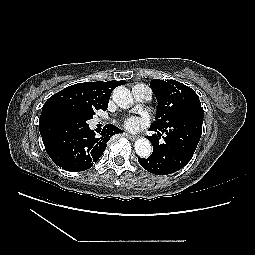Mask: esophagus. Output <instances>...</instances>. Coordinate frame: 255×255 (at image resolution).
<instances>
[{
  "label": "esophagus",
  "mask_w": 255,
  "mask_h": 255,
  "mask_svg": "<svg viewBox=\"0 0 255 255\" xmlns=\"http://www.w3.org/2000/svg\"><path fill=\"white\" fill-rule=\"evenodd\" d=\"M125 135H126L130 140H132V141H134V140L137 138L135 135L130 134V133H128V132H126Z\"/></svg>",
  "instance_id": "esophagus-1"
}]
</instances>
